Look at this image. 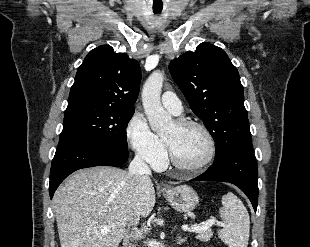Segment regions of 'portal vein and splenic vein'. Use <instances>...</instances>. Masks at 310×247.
<instances>
[{
    "label": "portal vein and splenic vein",
    "instance_id": "1",
    "mask_svg": "<svg viewBox=\"0 0 310 247\" xmlns=\"http://www.w3.org/2000/svg\"><path fill=\"white\" fill-rule=\"evenodd\" d=\"M215 224V220L210 219L207 220L206 222H203L202 224L199 225H192L191 227L187 226V225H183L182 226V230L184 231H189V232H200L203 230H206L208 228H210L211 226H213ZM218 225H223L222 223H217ZM109 231L108 227H105L101 230L102 234H106ZM139 233V231H138Z\"/></svg>",
    "mask_w": 310,
    "mask_h": 247
}]
</instances>
